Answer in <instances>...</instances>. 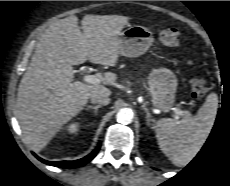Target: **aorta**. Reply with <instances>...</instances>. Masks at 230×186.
<instances>
[{"instance_id": "762f6f07", "label": "aorta", "mask_w": 230, "mask_h": 186, "mask_svg": "<svg viewBox=\"0 0 230 186\" xmlns=\"http://www.w3.org/2000/svg\"><path fill=\"white\" fill-rule=\"evenodd\" d=\"M117 121L121 124H130L133 120V113L128 108L120 109L116 115Z\"/></svg>"}]
</instances>
